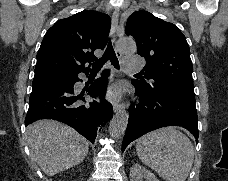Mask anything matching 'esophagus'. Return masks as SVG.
<instances>
[{"instance_id":"obj_1","label":"esophagus","mask_w":228,"mask_h":181,"mask_svg":"<svg viewBox=\"0 0 228 181\" xmlns=\"http://www.w3.org/2000/svg\"><path fill=\"white\" fill-rule=\"evenodd\" d=\"M112 29H113L114 41H115L118 33L123 30V26L119 23V8L118 7L113 12V16H112ZM115 50H116V55L119 58H121L122 53H120L116 48H115ZM124 108H125L124 103H115L113 105L114 112H118L120 110H123Z\"/></svg>"}]
</instances>
